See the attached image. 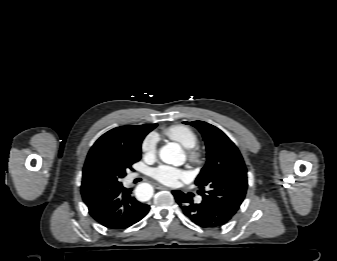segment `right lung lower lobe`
<instances>
[{"mask_svg": "<svg viewBox=\"0 0 337 261\" xmlns=\"http://www.w3.org/2000/svg\"><path fill=\"white\" fill-rule=\"evenodd\" d=\"M90 215L109 229H126L140 221L149 211L132 196V189L122 184L107 191L88 205Z\"/></svg>", "mask_w": 337, "mask_h": 261, "instance_id": "obj_1", "label": "right lung lower lobe"}]
</instances>
